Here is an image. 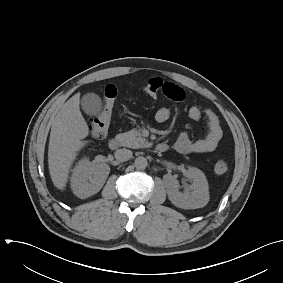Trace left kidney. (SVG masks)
<instances>
[{
  "label": "left kidney",
  "mask_w": 283,
  "mask_h": 283,
  "mask_svg": "<svg viewBox=\"0 0 283 283\" xmlns=\"http://www.w3.org/2000/svg\"><path fill=\"white\" fill-rule=\"evenodd\" d=\"M186 177L192 179L193 183L182 193L179 191V182L170 175L164 180L169 200L177 207L183 209H197L207 205L209 201V187L204 173L190 167L185 171Z\"/></svg>",
  "instance_id": "obj_1"
}]
</instances>
